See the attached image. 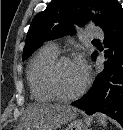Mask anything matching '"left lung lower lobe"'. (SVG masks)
Instances as JSON below:
<instances>
[{
    "label": "left lung lower lobe",
    "mask_w": 123,
    "mask_h": 130,
    "mask_svg": "<svg viewBox=\"0 0 123 130\" xmlns=\"http://www.w3.org/2000/svg\"><path fill=\"white\" fill-rule=\"evenodd\" d=\"M104 70L96 76L83 99L72 103L87 114L104 113L123 126V8L104 30ZM97 54L93 56L95 58Z\"/></svg>",
    "instance_id": "1"
}]
</instances>
